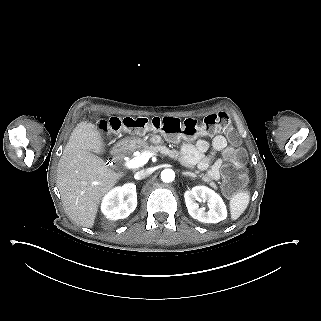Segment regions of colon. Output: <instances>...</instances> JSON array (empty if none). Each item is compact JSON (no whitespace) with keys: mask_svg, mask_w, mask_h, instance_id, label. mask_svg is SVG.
Wrapping results in <instances>:
<instances>
[{"mask_svg":"<svg viewBox=\"0 0 321 321\" xmlns=\"http://www.w3.org/2000/svg\"><path fill=\"white\" fill-rule=\"evenodd\" d=\"M99 130L104 133L121 131L142 133L155 130L164 132L169 136L184 135L188 137L225 134L229 140V146L224 152V157L228 163L223 172V189L227 195L231 196L247 182V174L244 169L246 154L239 147V137L234 132L231 119L225 112L210 114L201 123L194 119L182 121L176 117H154L151 119L112 117L100 121Z\"/></svg>","mask_w":321,"mask_h":321,"instance_id":"5ec220e1","label":"colon"}]
</instances>
